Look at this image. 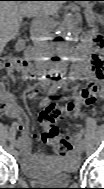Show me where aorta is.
<instances>
[{
    "label": "aorta",
    "instance_id": "aorta-1",
    "mask_svg": "<svg viewBox=\"0 0 104 189\" xmlns=\"http://www.w3.org/2000/svg\"><path fill=\"white\" fill-rule=\"evenodd\" d=\"M73 15L70 12H67L64 16V21L59 27L60 33L57 35V51L60 56L61 61H58L55 65V82H64L66 64L64 63V58L68 56V45L66 43L68 36L70 35L71 22Z\"/></svg>",
    "mask_w": 104,
    "mask_h": 189
}]
</instances>
